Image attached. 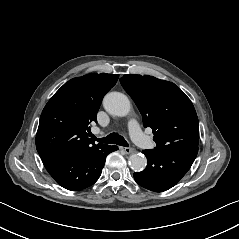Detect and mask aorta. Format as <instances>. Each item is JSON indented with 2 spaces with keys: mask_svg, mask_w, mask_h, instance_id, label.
I'll return each mask as SVG.
<instances>
[{
  "mask_svg": "<svg viewBox=\"0 0 239 239\" xmlns=\"http://www.w3.org/2000/svg\"><path fill=\"white\" fill-rule=\"evenodd\" d=\"M105 110L111 115L117 117H127L131 111V103L129 98L123 93H108L103 101ZM130 166L135 171L142 170L147 165L146 157L133 153L129 158Z\"/></svg>",
  "mask_w": 239,
  "mask_h": 239,
  "instance_id": "obj_1",
  "label": "aorta"
}]
</instances>
